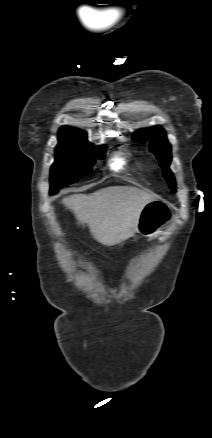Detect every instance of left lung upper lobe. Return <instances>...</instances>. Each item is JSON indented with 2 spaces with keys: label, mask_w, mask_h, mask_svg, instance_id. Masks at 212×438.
<instances>
[{
  "label": "left lung upper lobe",
  "mask_w": 212,
  "mask_h": 438,
  "mask_svg": "<svg viewBox=\"0 0 212 438\" xmlns=\"http://www.w3.org/2000/svg\"><path fill=\"white\" fill-rule=\"evenodd\" d=\"M133 140L138 143L149 142L150 151L156 155L164 170V177L173 192L176 191L175 179L169 169L171 162V146L166 138V133L160 126L140 129L133 134Z\"/></svg>",
  "instance_id": "5c2ea615"
}]
</instances>
